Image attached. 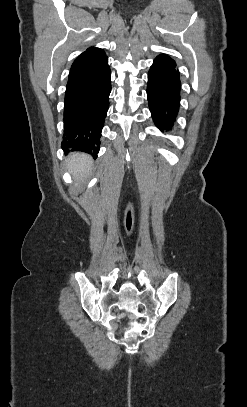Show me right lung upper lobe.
<instances>
[{"instance_id":"1","label":"right lung upper lobe","mask_w":247,"mask_h":407,"mask_svg":"<svg viewBox=\"0 0 247 407\" xmlns=\"http://www.w3.org/2000/svg\"><path fill=\"white\" fill-rule=\"evenodd\" d=\"M104 56L105 53L102 49L93 47L88 48L85 52H83L76 58L71 67L70 74L84 69L85 67L93 64Z\"/></svg>"}]
</instances>
